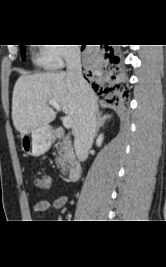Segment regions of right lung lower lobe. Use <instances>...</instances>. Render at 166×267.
<instances>
[{
  "mask_svg": "<svg viewBox=\"0 0 166 267\" xmlns=\"http://www.w3.org/2000/svg\"><path fill=\"white\" fill-rule=\"evenodd\" d=\"M85 45H82L81 50H83ZM105 58L108 59V74L105 80L92 83V87L101 97H111L113 100L118 101L122 96H125L126 92H123L124 84L121 82V75L117 70L119 58L114 55L113 49L107 47L105 49ZM90 76H92L91 71H89Z\"/></svg>",
  "mask_w": 166,
  "mask_h": 267,
  "instance_id": "1",
  "label": "right lung lower lobe"
}]
</instances>
